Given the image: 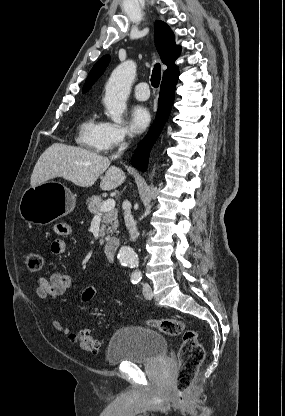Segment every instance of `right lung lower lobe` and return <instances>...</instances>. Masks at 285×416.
Wrapping results in <instances>:
<instances>
[{
  "mask_svg": "<svg viewBox=\"0 0 285 416\" xmlns=\"http://www.w3.org/2000/svg\"><path fill=\"white\" fill-rule=\"evenodd\" d=\"M178 75L162 81L156 121L151 127L147 137L139 144L136 153L132 158V165L141 171H146L150 150L170 113L174 101Z\"/></svg>",
  "mask_w": 285,
  "mask_h": 416,
  "instance_id": "1",
  "label": "right lung lower lobe"
}]
</instances>
